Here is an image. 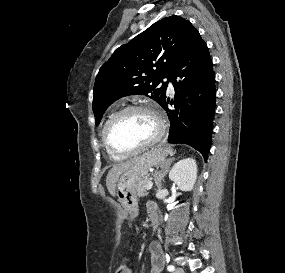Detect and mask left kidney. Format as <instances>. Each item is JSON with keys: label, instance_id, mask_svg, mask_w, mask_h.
<instances>
[{"label": "left kidney", "instance_id": "obj_1", "mask_svg": "<svg viewBox=\"0 0 285 273\" xmlns=\"http://www.w3.org/2000/svg\"><path fill=\"white\" fill-rule=\"evenodd\" d=\"M169 178L177 184L181 191H190L197 179V164L195 160L187 158L177 162L172 167Z\"/></svg>", "mask_w": 285, "mask_h": 273}]
</instances>
